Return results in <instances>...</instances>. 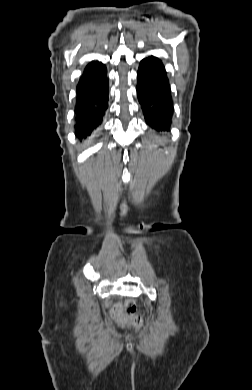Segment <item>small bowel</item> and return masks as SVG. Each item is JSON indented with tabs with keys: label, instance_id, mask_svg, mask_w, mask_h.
I'll list each match as a JSON object with an SVG mask.
<instances>
[{
	"label": "small bowel",
	"instance_id": "obj_1",
	"mask_svg": "<svg viewBox=\"0 0 252 390\" xmlns=\"http://www.w3.org/2000/svg\"><path fill=\"white\" fill-rule=\"evenodd\" d=\"M110 314H111L112 319H114L118 325L124 326L127 323L126 318L123 314L121 302H117L116 304H114V306L111 309Z\"/></svg>",
	"mask_w": 252,
	"mask_h": 390
}]
</instances>
